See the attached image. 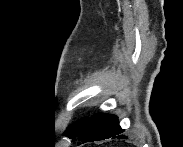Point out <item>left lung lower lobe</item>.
<instances>
[{"label":"left lung lower lobe","mask_w":183,"mask_h":147,"mask_svg":"<svg viewBox=\"0 0 183 147\" xmlns=\"http://www.w3.org/2000/svg\"><path fill=\"white\" fill-rule=\"evenodd\" d=\"M123 130L118 124V118L114 115L98 114L85 120L79 132L74 138L82 142H93L111 137L126 138L119 136Z\"/></svg>","instance_id":"0a47b994"}]
</instances>
